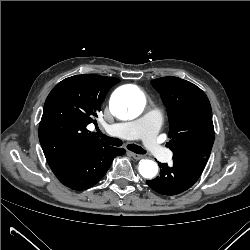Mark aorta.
I'll use <instances>...</instances> for the list:
<instances>
[{
	"instance_id": "obj_1",
	"label": "aorta",
	"mask_w": 250,
	"mask_h": 250,
	"mask_svg": "<svg viewBox=\"0 0 250 250\" xmlns=\"http://www.w3.org/2000/svg\"><path fill=\"white\" fill-rule=\"evenodd\" d=\"M146 105L144 95L134 86L118 89L110 100V110L113 115L123 119H132L139 116ZM139 173L144 178H153L158 172V165L152 160H141Z\"/></svg>"
}]
</instances>
